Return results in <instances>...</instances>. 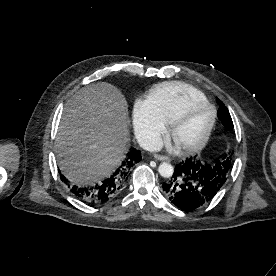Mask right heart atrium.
<instances>
[{"instance_id":"obj_1","label":"right heart atrium","mask_w":276,"mask_h":276,"mask_svg":"<svg viewBox=\"0 0 276 276\" xmlns=\"http://www.w3.org/2000/svg\"><path fill=\"white\" fill-rule=\"evenodd\" d=\"M134 127L141 143L151 149L161 143L166 130V124L153 113L146 101L136 103Z\"/></svg>"}]
</instances>
